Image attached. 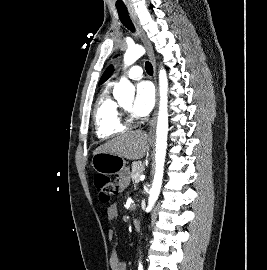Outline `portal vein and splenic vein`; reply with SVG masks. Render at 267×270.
Instances as JSON below:
<instances>
[{
  "mask_svg": "<svg viewBox=\"0 0 267 270\" xmlns=\"http://www.w3.org/2000/svg\"><path fill=\"white\" fill-rule=\"evenodd\" d=\"M144 178H145V175H140L138 181H139V180H143Z\"/></svg>",
  "mask_w": 267,
  "mask_h": 270,
  "instance_id": "portal-vein-and-splenic-vein-1",
  "label": "portal vein and splenic vein"
}]
</instances>
